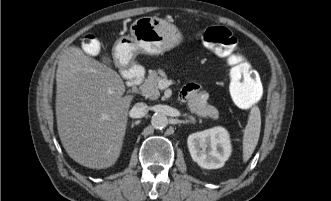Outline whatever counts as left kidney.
Here are the masks:
<instances>
[{"label": "left kidney", "instance_id": "left-kidney-1", "mask_svg": "<svg viewBox=\"0 0 331 201\" xmlns=\"http://www.w3.org/2000/svg\"><path fill=\"white\" fill-rule=\"evenodd\" d=\"M187 144L192 159L204 169L223 167L231 154L229 133L223 127L193 133Z\"/></svg>", "mask_w": 331, "mask_h": 201}]
</instances>
